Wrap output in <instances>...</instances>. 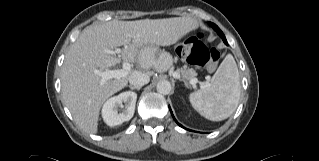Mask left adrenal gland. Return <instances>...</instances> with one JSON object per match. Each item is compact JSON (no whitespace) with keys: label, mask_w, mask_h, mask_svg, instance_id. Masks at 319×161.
I'll return each instance as SVG.
<instances>
[{"label":"left adrenal gland","mask_w":319,"mask_h":161,"mask_svg":"<svg viewBox=\"0 0 319 161\" xmlns=\"http://www.w3.org/2000/svg\"><path fill=\"white\" fill-rule=\"evenodd\" d=\"M183 82H184L185 86H187V82L185 80H183Z\"/></svg>","instance_id":"a2214340"}]
</instances>
